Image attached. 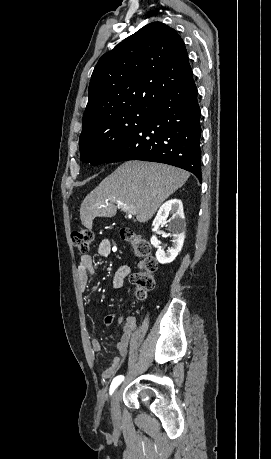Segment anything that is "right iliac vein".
I'll return each mask as SVG.
<instances>
[{
	"instance_id": "right-iliac-vein-1",
	"label": "right iliac vein",
	"mask_w": 271,
	"mask_h": 459,
	"mask_svg": "<svg viewBox=\"0 0 271 459\" xmlns=\"http://www.w3.org/2000/svg\"><path fill=\"white\" fill-rule=\"evenodd\" d=\"M119 400H120V390L116 389L112 395L111 407H110V412L114 419L120 418Z\"/></svg>"
}]
</instances>
